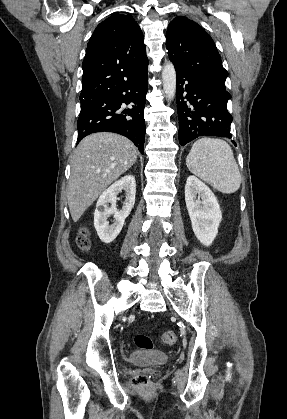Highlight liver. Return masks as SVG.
Returning a JSON list of instances; mask_svg holds the SVG:
<instances>
[{"instance_id": "1", "label": "liver", "mask_w": 287, "mask_h": 419, "mask_svg": "<svg viewBox=\"0 0 287 419\" xmlns=\"http://www.w3.org/2000/svg\"><path fill=\"white\" fill-rule=\"evenodd\" d=\"M136 146L126 137L99 132L85 137L71 158L67 200L77 222L98 196L137 159Z\"/></svg>"}]
</instances>
